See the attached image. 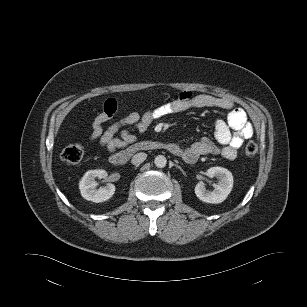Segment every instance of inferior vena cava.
<instances>
[{
  "label": "inferior vena cava",
  "mask_w": 307,
  "mask_h": 307,
  "mask_svg": "<svg viewBox=\"0 0 307 307\" xmlns=\"http://www.w3.org/2000/svg\"><path fill=\"white\" fill-rule=\"evenodd\" d=\"M146 158H147V154L144 152H140V153L135 154L132 157L131 162L133 165H140Z\"/></svg>",
  "instance_id": "602c4592"
}]
</instances>
